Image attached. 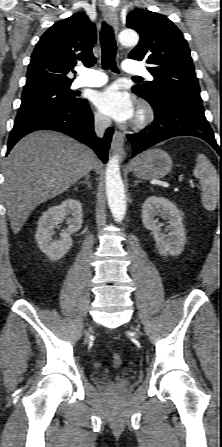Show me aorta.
Here are the masks:
<instances>
[{
	"label": "aorta",
	"mask_w": 222,
	"mask_h": 447,
	"mask_svg": "<svg viewBox=\"0 0 222 447\" xmlns=\"http://www.w3.org/2000/svg\"><path fill=\"white\" fill-rule=\"evenodd\" d=\"M119 41L124 46H135L139 41V36L132 29H125L120 32ZM105 175L108 206L115 220L121 222L126 213V197L118 155L110 157Z\"/></svg>",
	"instance_id": "762f6f07"
}]
</instances>
